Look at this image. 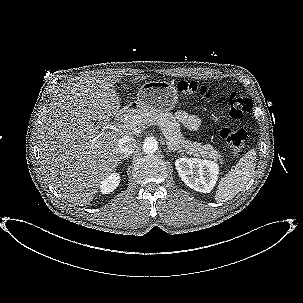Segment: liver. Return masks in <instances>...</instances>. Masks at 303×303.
Masks as SVG:
<instances>
[{"label": "liver", "instance_id": "obj_1", "mask_svg": "<svg viewBox=\"0 0 303 303\" xmlns=\"http://www.w3.org/2000/svg\"><path fill=\"white\" fill-rule=\"evenodd\" d=\"M119 81L97 75L69 83L52 99L41 126L43 170L60 197L75 205H88L118 165V141L125 133L101 132L94 123L109 121L120 111L114 89Z\"/></svg>", "mask_w": 303, "mask_h": 303}]
</instances>
